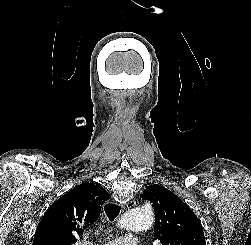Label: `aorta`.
<instances>
[{
  "label": "aorta",
  "instance_id": "aorta-1",
  "mask_svg": "<svg viewBox=\"0 0 251 245\" xmlns=\"http://www.w3.org/2000/svg\"><path fill=\"white\" fill-rule=\"evenodd\" d=\"M154 222V215L151 209L136 207L128 210L121 218L118 225L126 231H142L149 229Z\"/></svg>",
  "mask_w": 251,
  "mask_h": 245
}]
</instances>
